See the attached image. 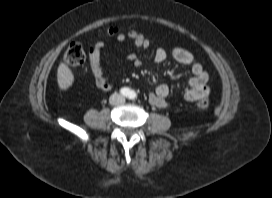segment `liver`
Listing matches in <instances>:
<instances>
[{"label": "liver", "mask_w": 272, "mask_h": 198, "mask_svg": "<svg viewBox=\"0 0 272 198\" xmlns=\"http://www.w3.org/2000/svg\"><path fill=\"white\" fill-rule=\"evenodd\" d=\"M57 82L61 90H67L74 82V75L65 63H60L58 66Z\"/></svg>", "instance_id": "1"}]
</instances>
